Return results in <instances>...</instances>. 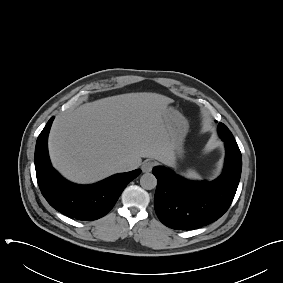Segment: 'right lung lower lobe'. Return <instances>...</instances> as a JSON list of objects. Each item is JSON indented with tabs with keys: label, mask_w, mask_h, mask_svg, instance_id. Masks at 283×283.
I'll return each mask as SVG.
<instances>
[{
	"label": "right lung lower lobe",
	"mask_w": 283,
	"mask_h": 283,
	"mask_svg": "<svg viewBox=\"0 0 283 283\" xmlns=\"http://www.w3.org/2000/svg\"><path fill=\"white\" fill-rule=\"evenodd\" d=\"M52 117L37 139L35 168L38 185L48 203L62 214L92 221L105 216L115 205L127 184L141 170L113 175L92 185H76L65 180L50 163L47 139Z\"/></svg>",
	"instance_id": "98d812e1"
}]
</instances>
